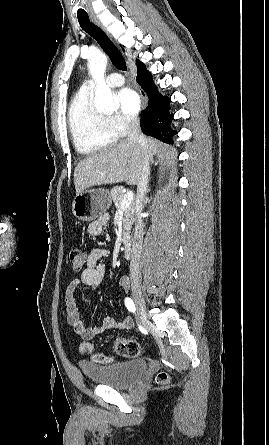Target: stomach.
I'll list each match as a JSON object with an SVG mask.
<instances>
[{
    "mask_svg": "<svg viewBox=\"0 0 269 445\" xmlns=\"http://www.w3.org/2000/svg\"><path fill=\"white\" fill-rule=\"evenodd\" d=\"M112 204L106 189H94L75 196L72 203L74 216L83 222H91L107 212Z\"/></svg>",
    "mask_w": 269,
    "mask_h": 445,
    "instance_id": "1",
    "label": "stomach"
}]
</instances>
